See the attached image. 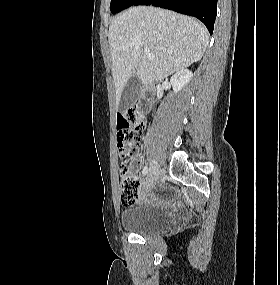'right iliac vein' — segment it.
Segmentation results:
<instances>
[{"label": "right iliac vein", "instance_id": "obj_1", "mask_svg": "<svg viewBox=\"0 0 280 285\" xmlns=\"http://www.w3.org/2000/svg\"><path fill=\"white\" fill-rule=\"evenodd\" d=\"M160 171L161 169H160L159 164L156 161H154L150 166V169H149V172L146 178L147 187H153L156 184L159 178V175H160Z\"/></svg>", "mask_w": 280, "mask_h": 285}]
</instances>
